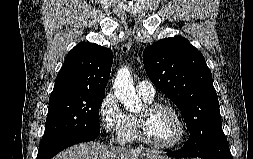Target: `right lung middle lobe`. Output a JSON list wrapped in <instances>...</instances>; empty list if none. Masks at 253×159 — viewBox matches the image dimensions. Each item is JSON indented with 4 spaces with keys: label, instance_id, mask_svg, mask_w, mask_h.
<instances>
[{
    "label": "right lung middle lobe",
    "instance_id": "right-lung-middle-lobe-1",
    "mask_svg": "<svg viewBox=\"0 0 253 159\" xmlns=\"http://www.w3.org/2000/svg\"><path fill=\"white\" fill-rule=\"evenodd\" d=\"M104 92H81L49 99L46 129L38 155L59 141L85 132H99V108Z\"/></svg>",
    "mask_w": 253,
    "mask_h": 159
}]
</instances>
